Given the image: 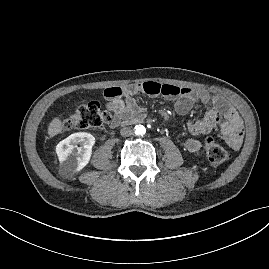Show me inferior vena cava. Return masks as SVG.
<instances>
[{"label":"inferior vena cava","instance_id":"1","mask_svg":"<svg viewBox=\"0 0 269 269\" xmlns=\"http://www.w3.org/2000/svg\"><path fill=\"white\" fill-rule=\"evenodd\" d=\"M120 134L124 137L131 136L133 134L132 129L130 127H123L120 130Z\"/></svg>","mask_w":269,"mask_h":269}]
</instances>
